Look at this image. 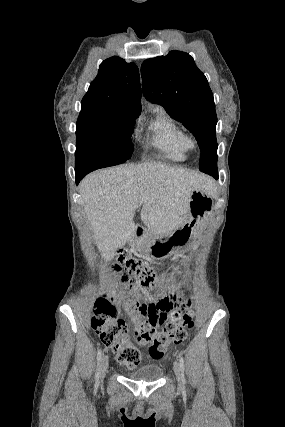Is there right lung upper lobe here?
I'll return each instance as SVG.
<instances>
[{
    "label": "right lung upper lobe",
    "mask_w": 285,
    "mask_h": 427,
    "mask_svg": "<svg viewBox=\"0 0 285 427\" xmlns=\"http://www.w3.org/2000/svg\"><path fill=\"white\" fill-rule=\"evenodd\" d=\"M138 67L114 56L104 60L82 99L77 124L130 120L141 112Z\"/></svg>",
    "instance_id": "obj_1"
}]
</instances>
